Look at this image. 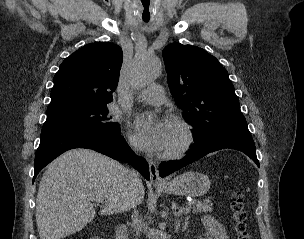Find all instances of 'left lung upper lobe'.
I'll use <instances>...</instances> for the list:
<instances>
[{"mask_svg":"<svg viewBox=\"0 0 304 239\" xmlns=\"http://www.w3.org/2000/svg\"><path fill=\"white\" fill-rule=\"evenodd\" d=\"M162 55L175 102L195 128L196 145L224 135H250L228 72L214 56L182 44L167 45Z\"/></svg>","mask_w":304,"mask_h":239,"instance_id":"left-lung-upper-lobe-1","label":"left lung upper lobe"}]
</instances>
